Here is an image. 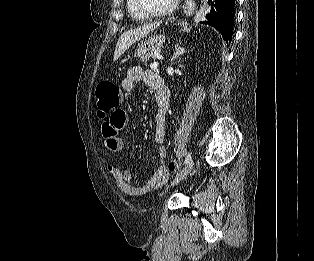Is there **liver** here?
Segmentation results:
<instances>
[{"mask_svg":"<svg viewBox=\"0 0 314 261\" xmlns=\"http://www.w3.org/2000/svg\"><path fill=\"white\" fill-rule=\"evenodd\" d=\"M158 25L159 23L147 24L140 28L123 33L116 44L114 61H116L132 44L145 37L147 34L157 28Z\"/></svg>","mask_w":314,"mask_h":261,"instance_id":"obj_1","label":"liver"}]
</instances>
